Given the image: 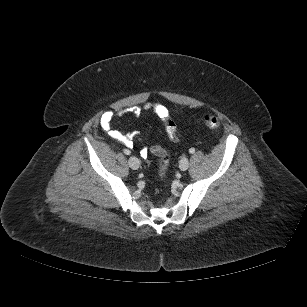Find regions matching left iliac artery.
I'll return each mask as SVG.
<instances>
[{"mask_svg":"<svg viewBox=\"0 0 307 307\" xmlns=\"http://www.w3.org/2000/svg\"><path fill=\"white\" fill-rule=\"evenodd\" d=\"M189 153H191V154L195 153V149L194 148H190L189 149Z\"/></svg>","mask_w":307,"mask_h":307,"instance_id":"left-iliac-artery-1","label":"left iliac artery"}]
</instances>
